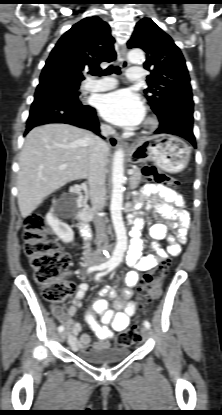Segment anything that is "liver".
<instances>
[{
    "instance_id": "liver-1",
    "label": "liver",
    "mask_w": 222,
    "mask_h": 415,
    "mask_svg": "<svg viewBox=\"0 0 222 415\" xmlns=\"http://www.w3.org/2000/svg\"><path fill=\"white\" fill-rule=\"evenodd\" d=\"M93 137L89 131L68 124H47L28 133L17 177L18 206L23 218L68 182L88 178ZM108 154L107 151L105 171ZM64 164L67 167L60 169Z\"/></svg>"
}]
</instances>
